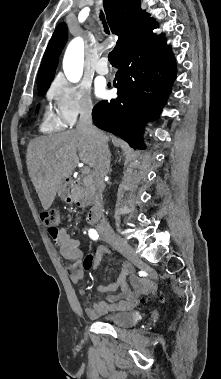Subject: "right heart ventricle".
Segmentation results:
<instances>
[{
  "mask_svg": "<svg viewBox=\"0 0 221 379\" xmlns=\"http://www.w3.org/2000/svg\"><path fill=\"white\" fill-rule=\"evenodd\" d=\"M65 124L50 109H46L41 119L39 129L44 133H51L64 128Z\"/></svg>",
  "mask_w": 221,
  "mask_h": 379,
  "instance_id": "e07e8e85",
  "label": "right heart ventricle"
}]
</instances>
